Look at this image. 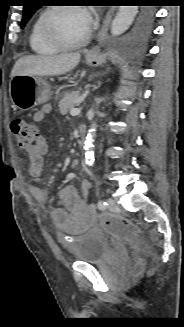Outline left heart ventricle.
Instances as JSON below:
<instances>
[{"instance_id":"1","label":"left heart ventricle","mask_w":184,"mask_h":327,"mask_svg":"<svg viewBox=\"0 0 184 327\" xmlns=\"http://www.w3.org/2000/svg\"><path fill=\"white\" fill-rule=\"evenodd\" d=\"M57 31L68 41L80 40L88 31L89 25L80 9L60 11L55 16Z\"/></svg>"}]
</instances>
